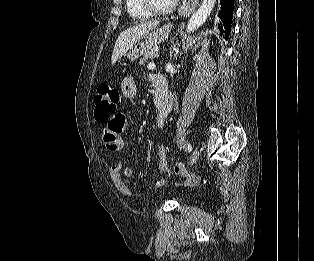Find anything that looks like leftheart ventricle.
<instances>
[{"instance_id":"left-heart-ventricle-1","label":"left heart ventricle","mask_w":314,"mask_h":261,"mask_svg":"<svg viewBox=\"0 0 314 261\" xmlns=\"http://www.w3.org/2000/svg\"><path fill=\"white\" fill-rule=\"evenodd\" d=\"M154 5L159 8L167 7L173 0H152Z\"/></svg>"}]
</instances>
